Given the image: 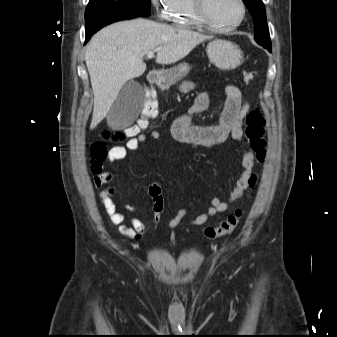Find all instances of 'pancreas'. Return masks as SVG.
I'll return each mask as SVG.
<instances>
[{"instance_id":"obj_1","label":"pancreas","mask_w":337,"mask_h":337,"mask_svg":"<svg viewBox=\"0 0 337 337\" xmlns=\"http://www.w3.org/2000/svg\"><path fill=\"white\" fill-rule=\"evenodd\" d=\"M195 85L192 82H187L184 81L182 84L179 86V89L183 93H187L188 91L194 89Z\"/></svg>"}]
</instances>
